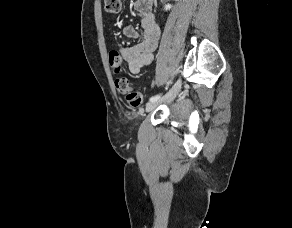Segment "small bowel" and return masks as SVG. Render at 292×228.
Returning <instances> with one entry per match:
<instances>
[{
	"label": "small bowel",
	"mask_w": 292,
	"mask_h": 228,
	"mask_svg": "<svg viewBox=\"0 0 292 228\" xmlns=\"http://www.w3.org/2000/svg\"><path fill=\"white\" fill-rule=\"evenodd\" d=\"M152 7L153 0H136L134 8L140 16V26L143 30L141 40L132 46H123L111 51L117 54L121 61L127 62L130 73L134 75L151 63L160 38V28ZM122 33L130 38L139 37L138 30L132 25L123 27Z\"/></svg>",
	"instance_id": "c3829d8e"
}]
</instances>
